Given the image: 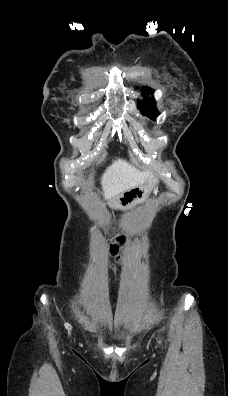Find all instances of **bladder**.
Wrapping results in <instances>:
<instances>
[{
    "label": "bladder",
    "mask_w": 228,
    "mask_h": 396,
    "mask_svg": "<svg viewBox=\"0 0 228 396\" xmlns=\"http://www.w3.org/2000/svg\"><path fill=\"white\" fill-rule=\"evenodd\" d=\"M108 338L112 341L126 343L130 338V333L128 329L116 330L111 333Z\"/></svg>",
    "instance_id": "bladder-1"
}]
</instances>
